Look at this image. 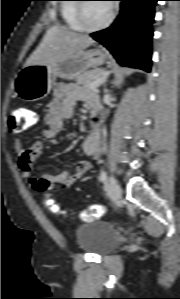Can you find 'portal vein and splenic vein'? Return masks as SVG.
<instances>
[{
    "label": "portal vein and splenic vein",
    "instance_id": "portal-vein-and-splenic-vein-1",
    "mask_svg": "<svg viewBox=\"0 0 180 299\" xmlns=\"http://www.w3.org/2000/svg\"><path fill=\"white\" fill-rule=\"evenodd\" d=\"M108 73H104L101 77L97 78L93 83L90 84V89L95 90L98 88L101 84H103L106 80V76Z\"/></svg>",
    "mask_w": 180,
    "mask_h": 299
}]
</instances>
